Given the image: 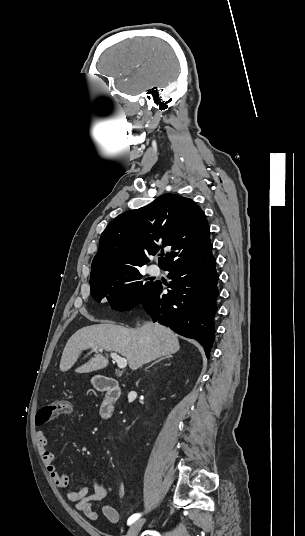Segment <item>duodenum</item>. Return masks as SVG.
Segmentation results:
<instances>
[{
	"label": "duodenum",
	"mask_w": 305,
	"mask_h": 536,
	"mask_svg": "<svg viewBox=\"0 0 305 536\" xmlns=\"http://www.w3.org/2000/svg\"><path fill=\"white\" fill-rule=\"evenodd\" d=\"M95 386L98 390L105 392L101 415L104 419H110L114 414L115 404L121 395V390L115 380L108 377H97Z\"/></svg>",
	"instance_id": "duodenum-1"
}]
</instances>
